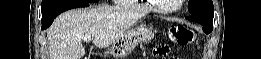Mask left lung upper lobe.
<instances>
[{
    "label": "left lung upper lobe",
    "instance_id": "left-lung-upper-lobe-1",
    "mask_svg": "<svg viewBox=\"0 0 261 59\" xmlns=\"http://www.w3.org/2000/svg\"><path fill=\"white\" fill-rule=\"evenodd\" d=\"M188 9L192 16L213 20L212 0H189Z\"/></svg>",
    "mask_w": 261,
    "mask_h": 59
}]
</instances>
